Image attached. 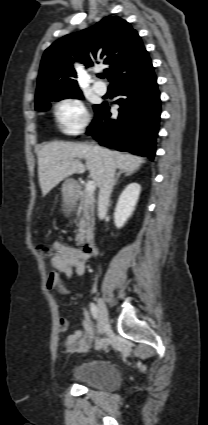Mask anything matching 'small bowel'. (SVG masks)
I'll list each match as a JSON object with an SVG mask.
<instances>
[{
	"label": "small bowel",
	"instance_id": "obj_1",
	"mask_svg": "<svg viewBox=\"0 0 208 425\" xmlns=\"http://www.w3.org/2000/svg\"><path fill=\"white\" fill-rule=\"evenodd\" d=\"M52 248L55 255L51 258V266L54 269L47 278V287L52 291H56L61 295L69 293L63 276L68 280H76L86 271V261L88 256L80 249L69 246L60 241L53 243ZM81 327L68 335L63 342L66 352L84 353L95 337L94 325L91 317L86 309L82 311ZM71 324L67 318H60V331L66 332L70 329Z\"/></svg>",
	"mask_w": 208,
	"mask_h": 425
}]
</instances>
